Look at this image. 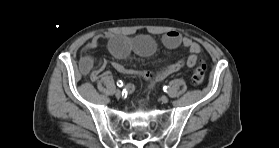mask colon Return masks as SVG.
<instances>
[{
	"label": "colon",
	"mask_w": 279,
	"mask_h": 148,
	"mask_svg": "<svg viewBox=\"0 0 279 148\" xmlns=\"http://www.w3.org/2000/svg\"><path fill=\"white\" fill-rule=\"evenodd\" d=\"M206 75V65L200 62L198 66L193 70L191 75V82L193 85L198 86L203 83Z\"/></svg>",
	"instance_id": "colon-1"
}]
</instances>
